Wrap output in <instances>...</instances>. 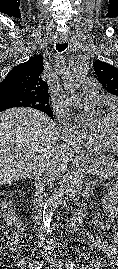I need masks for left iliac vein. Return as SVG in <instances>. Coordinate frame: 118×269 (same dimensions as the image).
I'll return each instance as SVG.
<instances>
[{"instance_id":"4c4485c4","label":"left iliac vein","mask_w":118,"mask_h":269,"mask_svg":"<svg viewBox=\"0 0 118 269\" xmlns=\"http://www.w3.org/2000/svg\"><path fill=\"white\" fill-rule=\"evenodd\" d=\"M57 263V265L60 267L61 266V263L60 262H56Z\"/></svg>"}]
</instances>
